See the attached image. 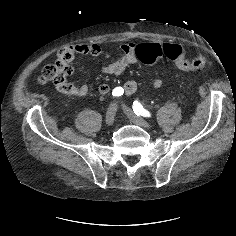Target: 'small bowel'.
<instances>
[{
    "label": "small bowel",
    "mask_w": 236,
    "mask_h": 236,
    "mask_svg": "<svg viewBox=\"0 0 236 236\" xmlns=\"http://www.w3.org/2000/svg\"><path fill=\"white\" fill-rule=\"evenodd\" d=\"M142 44L152 45V46H158L161 47L162 44L156 43V42H146ZM140 45V44H139ZM139 45H136L134 43H126L121 46V50L123 52V55L121 58L105 64L101 67V72L105 75H120L122 74L129 66H132L137 63V57H136V49ZM65 54H68L71 60V66H70V72L67 75L70 76L75 68L73 65V59L76 56H93L95 58H105L109 59L111 58L110 53H104L102 51V48L97 43H91V44H75L72 45L66 49L62 50ZM67 77L63 82L56 84L57 91L66 96V97H82L85 96L88 91L89 87L87 84H80V85H74L67 81ZM153 87L157 89H164L165 84L163 81L159 78H151L150 80ZM110 86L106 83H103L99 86V92L102 95H106L110 91ZM124 93L125 95L129 96L132 95L137 90V82L134 80L127 81L123 85Z\"/></svg>",
    "instance_id": "small-bowel-1"
}]
</instances>
